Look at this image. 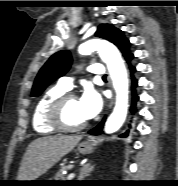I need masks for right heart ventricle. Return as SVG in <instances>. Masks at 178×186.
<instances>
[{
	"instance_id": "e07e8e85",
	"label": "right heart ventricle",
	"mask_w": 178,
	"mask_h": 186,
	"mask_svg": "<svg viewBox=\"0 0 178 186\" xmlns=\"http://www.w3.org/2000/svg\"><path fill=\"white\" fill-rule=\"evenodd\" d=\"M65 92L66 90L64 88L57 85L46 91L37 101L32 114V126L37 133L52 134L56 132L47 122L46 113L51 102Z\"/></svg>"
}]
</instances>
